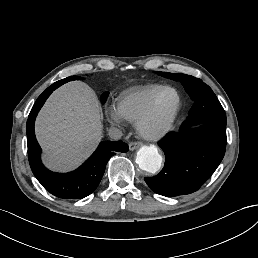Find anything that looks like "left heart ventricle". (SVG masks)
I'll list each match as a JSON object with an SVG mask.
<instances>
[{"label":"left heart ventricle","mask_w":258,"mask_h":258,"mask_svg":"<svg viewBox=\"0 0 258 258\" xmlns=\"http://www.w3.org/2000/svg\"><path fill=\"white\" fill-rule=\"evenodd\" d=\"M175 107L172 92L162 93L156 101L152 114L144 120L142 129L148 134H157L170 119Z\"/></svg>","instance_id":"1"}]
</instances>
